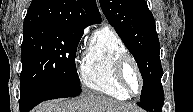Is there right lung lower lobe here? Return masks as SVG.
<instances>
[{"mask_svg": "<svg viewBox=\"0 0 193 112\" xmlns=\"http://www.w3.org/2000/svg\"><path fill=\"white\" fill-rule=\"evenodd\" d=\"M46 97H43L40 94H34L30 97H20V112H28L33 107H35L37 104H39L42 101H45Z\"/></svg>", "mask_w": 193, "mask_h": 112, "instance_id": "right-lung-lower-lobe-1", "label": "right lung lower lobe"}]
</instances>
